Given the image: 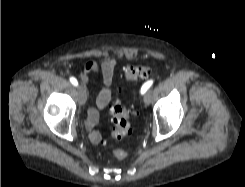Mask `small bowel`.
<instances>
[{
    "mask_svg": "<svg viewBox=\"0 0 245 187\" xmlns=\"http://www.w3.org/2000/svg\"><path fill=\"white\" fill-rule=\"evenodd\" d=\"M117 62L114 58H108L103 60L101 63H97L95 61H89L85 64L82 72L79 75L80 80L84 83H88V75L100 73L102 76V89L100 94L96 99V105L99 109L105 108L113 94V80L115 75V68ZM98 111L95 108H91L88 110V118H87V126L91 129L95 125L98 120ZM90 139L94 144L101 143V136L95 132L91 131Z\"/></svg>",
    "mask_w": 245,
    "mask_h": 187,
    "instance_id": "c3829d8e",
    "label": "small bowel"
}]
</instances>
